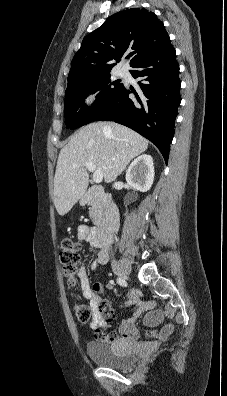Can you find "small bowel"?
<instances>
[{
	"label": "small bowel",
	"instance_id": "small-bowel-1",
	"mask_svg": "<svg viewBox=\"0 0 227 396\" xmlns=\"http://www.w3.org/2000/svg\"><path fill=\"white\" fill-rule=\"evenodd\" d=\"M96 230L82 225L78 228V238L89 243L91 246L99 247L94 239ZM108 262V253L105 250L99 251L95 260L91 263L90 269L95 272L99 266L105 265ZM78 279L81 286V291L86 299L91 301V306L94 308V315L90 326L95 329V339L101 342H135L140 347L145 349H153L159 343L165 341L173 332V325L166 324L159 331L154 333L152 337H143L140 331L136 328L134 322L143 313H146L144 322L148 327L157 326L163 318V313L159 309H155V303L152 301H140L136 293L131 292L127 296V301L124 306H133V314L130 318L121 322L117 331L108 334L106 332L110 322L114 319L115 313L109 302L105 299H100L98 293L103 291V287L99 283L91 284L87 270L81 268L78 271Z\"/></svg>",
	"mask_w": 227,
	"mask_h": 396
}]
</instances>
